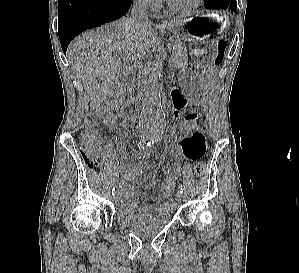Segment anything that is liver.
Returning <instances> with one entry per match:
<instances>
[{
  "label": "liver",
  "mask_w": 299,
  "mask_h": 273,
  "mask_svg": "<svg viewBox=\"0 0 299 273\" xmlns=\"http://www.w3.org/2000/svg\"><path fill=\"white\" fill-rule=\"evenodd\" d=\"M186 20L174 19L168 25L179 26ZM156 42L152 23L122 18L74 39L67 50L72 70L90 96L91 108L99 107L115 88L124 64L121 58L139 60Z\"/></svg>",
  "instance_id": "6515ba94"
}]
</instances>
